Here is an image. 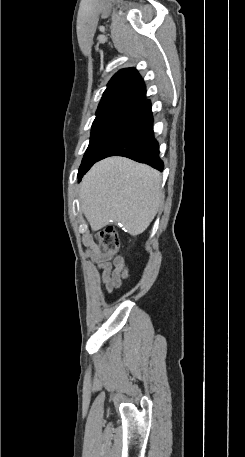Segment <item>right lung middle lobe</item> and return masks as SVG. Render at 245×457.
Wrapping results in <instances>:
<instances>
[{
    "mask_svg": "<svg viewBox=\"0 0 245 457\" xmlns=\"http://www.w3.org/2000/svg\"><path fill=\"white\" fill-rule=\"evenodd\" d=\"M128 114L129 112L127 111L96 113L91 130L90 143L79 168V180L97 161V158L121 127Z\"/></svg>",
    "mask_w": 245,
    "mask_h": 457,
    "instance_id": "dd1d6c3e",
    "label": "right lung middle lobe"
}]
</instances>
